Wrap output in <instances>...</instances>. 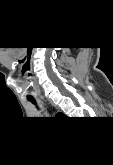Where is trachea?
<instances>
[{"label":"trachea","mask_w":113,"mask_h":165,"mask_svg":"<svg viewBox=\"0 0 113 165\" xmlns=\"http://www.w3.org/2000/svg\"><path fill=\"white\" fill-rule=\"evenodd\" d=\"M30 101H31V102H33V103H35V101H34V100H32V99H31Z\"/></svg>","instance_id":"obj_1"}]
</instances>
